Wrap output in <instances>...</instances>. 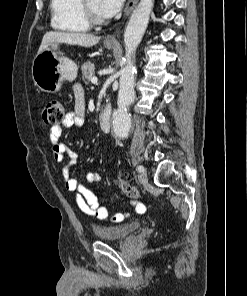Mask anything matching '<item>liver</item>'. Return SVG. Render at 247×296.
Masks as SVG:
<instances>
[{
    "mask_svg": "<svg viewBox=\"0 0 247 296\" xmlns=\"http://www.w3.org/2000/svg\"><path fill=\"white\" fill-rule=\"evenodd\" d=\"M99 40V36L86 33L50 31L43 36L38 53L45 50L53 43H65L89 48L96 45Z\"/></svg>",
    "mask_w": 247,
    "mask_h": 296,
    "instance_id": "6515ba94",
    "label": "liver"
}]
</instances>
